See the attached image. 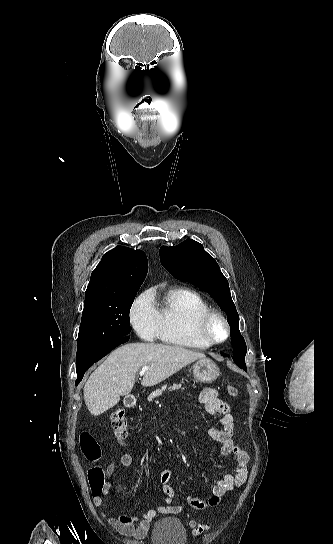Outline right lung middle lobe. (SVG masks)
Returning a JSON list of instances; mask_svg holds the SVG:
<instances>
[{
	"label": "right lung middle lobe",
	"mask_w": 333,
	"mask_h": 544,
	"mask_svg": "<svg viewBox=\"0 0 333 544\" xmlns=\"http://www.w3.org/2000/svg\"><path fill=\"white\" fill-rule=\"evenodd\" d=\"M137 291L85 302L78 334L76 366L130 333L129 311Z\"/></svg>",
	"instance_id": "right-lung-middle-lobe-1"
}]
</instances>
